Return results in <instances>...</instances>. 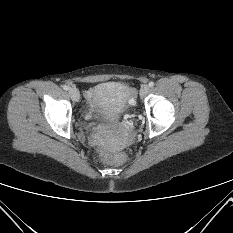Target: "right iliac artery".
<instances>
[{"mask_svg":"<svg viewBox=\"0 0 233 233\" xmlns=\"http://www.w3.org/2000/svg\"><path fill=\"white\" fill-rule=\"evenodd\" d=\"M63 89L67 91L69 89V87L67 85H64Z\"/></svg>","mask_w":233,"mask_h":233,"instance_id":"1","label":"right iliac artery"}]
</instances>
